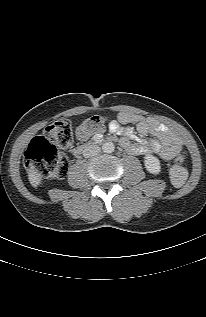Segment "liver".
<instances>
[{
  "mask_svg": "<svg viewBox=\"0 0 206 317\" xmlns=\"http://www.w3.org/2000/svg\"><path fill=\"white\" fill-rule=\"evenodd\" d=\"M28 179L33 187H37L41 184L42 176L34 166H31L28 170Z\"/></svg>",
  "mask_w": 206,
  "mask_h": 317,
  "instance_id": "1",
  "label": "liver"
}]
</instances>
